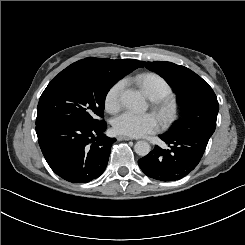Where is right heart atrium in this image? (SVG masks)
Segmentation results:
<instances>
[{"label":"right heart atrium","instance_id":"obj_1","mask_svg":"<svg viewBox=\"0 0 245 245\" xmlns=\"http://www.w3.org/2000/svg\"><path fill=\"white\" fill-rule=\"evenodd\" d=\"M123 82L114 83L105 96V107L108 111H116L121 105V95L123 91Z\"/></svg>","mask_w":245,"mask_h":245}]
</instances>
